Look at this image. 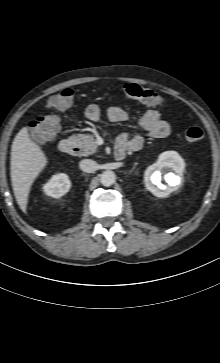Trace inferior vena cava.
Instances as JSON below:
<instances>
[{"label":"inferior vena cava","mask_w":220,"mask_h":363,"mask_svg":"<svg viewBox=\"0 0 220 363\" xmlns=\"http://www.w3.org/2000/svg\"><path fill=\"white\" fill-rule=\"evenodd\" d=\"M79 165L80 169L87 173H92L98 169V164L91 159H83Z\"/></svg>","instance_id":"inferior-vena-cava-1"}]
</instances>
